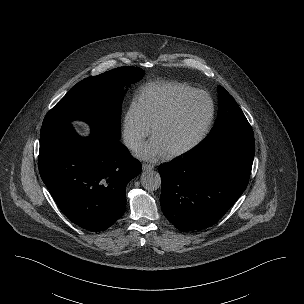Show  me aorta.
I'll use <instances>...</instances> for the list:
<instances>
[{
  "mask_svg": "<svg viewBox=\"0 0 304 304\" xmlns=\"http://www.w3.org/2000/svg\"><path fill=\"white\" fill-rule=\"evenodd\" d=\"M141 184L149 191L157 190L161 187V177L157 171L147 170L141 175Z\"/></svg>",
  "mask_w": 304,
  "mask_h": 304,
  "instance_id": "obj_1",
  "label": "aorta"
}]
</instances>
